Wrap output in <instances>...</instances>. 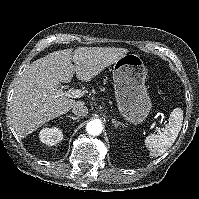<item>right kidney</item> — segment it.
I'll list each match as a JSON object with an SVG mask.
<instances>
[{"mask_svg": "<svg viewBox=\"0 0 199 199\" xmlns=\"http://www.w3.org/2000/svg\"><path fill=\"white\" fill-rule=\"evenodd\" d=\"M39 138L44 144L53 146L63 139V133L57 127L43 128L39 132Z\"/></svg>", "mask_w": 199, "mask_h": 199, "instance_id": "1", "label": "right kidney"}]
</instances>
